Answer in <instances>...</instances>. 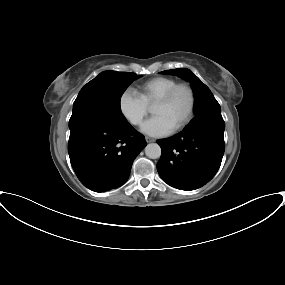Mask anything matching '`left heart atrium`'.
Returning <instances> with one entry per match:
<instances>
[{
  "mask_svg": "<svg viewBox=\"0 0 285 285\" xmlns=\"http://www.w3.org/2000/svg\"><path fill=\"white\" fill-rule=\"evenodd\" d=\"M141 130L149 136L162 137L169 135L173 128L163 117L154 116L143 123Z\"/></svg>",
  "mask_w": 285,
  "mask_h": 285,
  "instance_id": "obj_1",
  "label": "left heart atrium"
}]
</instances>
